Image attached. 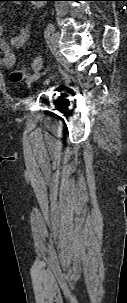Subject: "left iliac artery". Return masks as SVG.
I'll return each mask as SVG.
<instances>
[{"label": "left iliac artery", "mask_w": 127, "mask_h": 303, "mask_svg": "<svg viewBox=\"0 0 127 303\" xmlns=\"http://www.w3.org/2000/svg\"><path fill=\"white\" fill-rule=\"evenodd\" d=\"M53 33H54V24L50 23L45 29L46 40L50 41Z\"/></svg>", "instance_id": "1"}]
</instances>
